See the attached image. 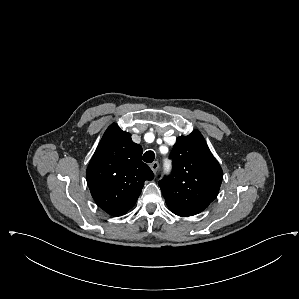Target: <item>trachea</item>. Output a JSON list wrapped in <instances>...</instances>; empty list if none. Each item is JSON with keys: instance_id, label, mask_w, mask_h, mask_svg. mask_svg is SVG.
<instances>
[{"instance_id": "1", "label": "trachea", "mask_w": 299, "mask_h": 299, "mask_svg": "<svg viewBox=\"0 0 299 299\" xmlns=\"http://www.w3.org/2000/svg\"><path fill=\"white\" fill-rule=\"evenodd\" d=\"M155 154L153 151H147L143 155V161L146 163H152L154 161Z\"/></svg>"}]
</instances>
